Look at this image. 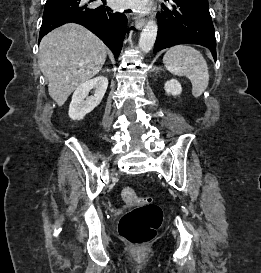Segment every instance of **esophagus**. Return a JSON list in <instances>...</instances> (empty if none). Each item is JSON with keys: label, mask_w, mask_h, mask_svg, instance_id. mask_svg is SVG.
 Wrapping results in <instances>:
<instances>
[{"label": "esophagus", "mask_w": 261, "mask_h": 273, "mask_svg": "<svg viewBox=\"0 0 261 273\" xmlns=\"http://www.w3.org/2000/svg\"><path fill=\"white\" fill-rule=\"evenodd\" d=\"M146 23V19L145 18H141V17H137L135 19V26L136 28H142Z\"/></svg>", "instance_id": "34e87169"}]
</instances>
